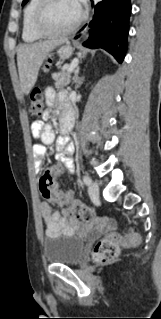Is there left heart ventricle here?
<instances>
[{
    "mask_svg": "<svg viewBox=\"0 0 161 319\" xmlns=\"http://www.w3.org/2000/svg\"><path fill=\"white\" fill-rule=\"evenodd\" d=\"M79 4L78 0H54L45 13L44 26L51 31L65 29L77 18Z\"/></svg>",
    "mask_w": 161,
    "mask_h": 319,
    "instance_id": "obj_1",
    "label": "left heart ventricle"
}]
</instances>
